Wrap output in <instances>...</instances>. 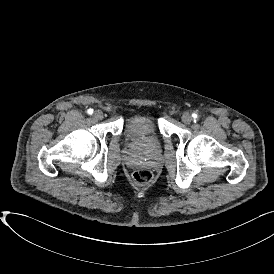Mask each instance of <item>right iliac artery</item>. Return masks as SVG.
Masks as SVG:
<instances>
[{
	"label": "right iliac artery",
	"instance_id": "1",
	"mask_svg": "<svg viewBox=\"0 0 274 274\" xmlns=\"http://www.w3.org/2000/svg\"><path fill=\"white\" fill-rule=\"evenodd\" d=\"M87 112H88V114H90V115H91V114H93V109H91V108H90V109H88V111H87Z\"/></svg>",
	"mask_w": 274,
	"mask_h": 274
}]
</instances>
